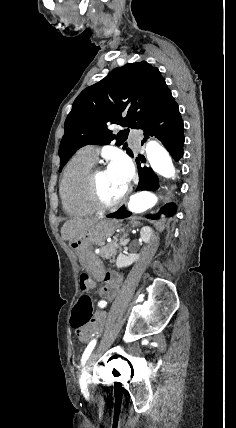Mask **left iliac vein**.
Returning <instances> with one entry per match:
<instances>
[{
  "instance_id": "4c4485c4",
  "label": "left iliac vein",
  "mask_w": 236,
  "mask_h": 428,
  "mask_svg": "<svg viewBox=\"0 0 236 428\" xmlns=\"http://www.w3.org/2000/svg\"><path fill=\"white\" fill-rule=\"evenodd\" d=\"M112 341L113 340L111 338L110 339L107 338L104 341V343L102 342L100 344L98 349H96L95 351L92 352V355H90L89 360L87 361V364H86V368H85L86 371L89 372L95 367V364L98 360V357L102 355V350L104 349V345H108L109 342L111 343Z\"/></svg>"
}]
</instances>
